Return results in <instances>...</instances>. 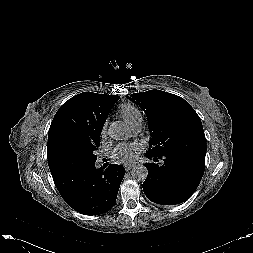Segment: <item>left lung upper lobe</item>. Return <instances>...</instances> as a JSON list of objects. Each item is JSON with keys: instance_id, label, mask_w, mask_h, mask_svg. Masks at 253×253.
I'll use <instances>...</instances> for the list:
<instances>
[{"instance_id": "obj_1", "label": "left lung upper lobe", "mask_w": 253, "mask_h": 253, "mask_svg": "<svg viewBox=\"0 0 253 253\" xmlns=\"http://www.w3.org/2000/svg\"><path fill=\"white\" fill-rule=\"evenodd\" d=\"M147 115L151 139L147 153L162 155L180 149L206 151L201 119L183 98L161 90L128 97Z\"/></svg>"}]
</instances>
